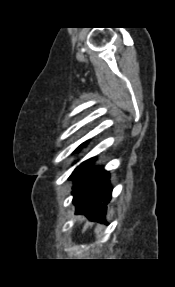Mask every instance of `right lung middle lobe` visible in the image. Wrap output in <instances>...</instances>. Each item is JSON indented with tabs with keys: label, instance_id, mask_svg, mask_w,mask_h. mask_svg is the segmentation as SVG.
<instances>
[{
	"label": "right lung middle lobe",
	"instance_id": "obj_1",
	"mask_svg": "<svg viewBox=\"0 0 175 287\" xmlns=\"http://www.w3.org/2000/svg\"><path fill=\"white\" fill-rule=\"evenodd\" d=\"M87 142H85L84 144H86ZM82 146V145H81ZM81 146H79V148H81Z\"/></svg>",
	"mask_w": 175,
	"mask_h": 287
}]
</instances>
